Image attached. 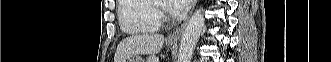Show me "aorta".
Segmentation results:
<instances>
[{
    "label": "aorta",
    "mask_w": 331,
    "mask_h": 62,
    "mask_svg": "<svg viewBox=\"0 0 331 62\" xmlns=\"http://www.w3.org/2000/svg\"><path fill=\"white\" fill-rule=\"evenodd\" d=\"M205 24L203 9L199 8L191 16L182 34L178 62H190L196 44Z\"/></svg>",
    "instance_id": "762f6f07"
}]
</instances>
